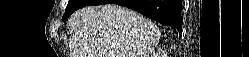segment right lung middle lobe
<instances>
[{"label":"right lung middle lobe","mask_w":249,"mask_h":57,"mask_svg":"<svg viewBox=\"0 0 249 57\" xmlns=\"http://www.w3.org/2000/svg\"><path fill=\"white\" fill-rule=\"evenodd\" d=\"M91 1L92 0H69L63 20L66 21L75 10L89 5Z\"/></svg>","instance_id":"dd1d6c3e"}]
</instances>
